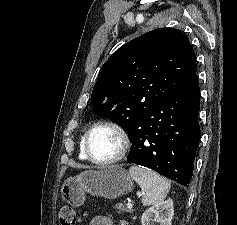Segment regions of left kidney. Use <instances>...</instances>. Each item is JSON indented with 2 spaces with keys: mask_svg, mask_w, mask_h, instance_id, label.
Segmentation results:
<instances>
[{
  "mask_svg": "<svg viewBox=\"0 0 237 225\" xmlns=\"http://www.w3.org/2000/svg\"><path fill=\"white\" fill-rule=\"evenodd\" d=\"M173 215V201L169 199L147 209L141 217V223L142 225H154V222H157L160 225H172Z\"/></svg>",
  "mask_w": 237,
  "mask_h": 225,
  "instance_id": "obj_1",
  "label": "left kidney"
}]
</instances>
